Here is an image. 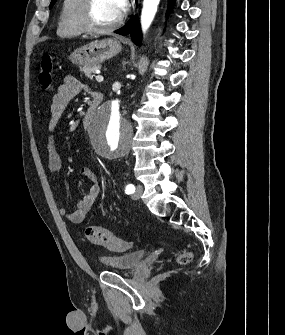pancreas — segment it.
Masks as SVG:
<instances>
[{
	"label": "pancreas",
	"mask_w": 285,
	"mask_h": 335,
	"mask_svg": "<svg viewBox=\"0 0 285 335\" xmlns=\"http://www.w3.org/2000/svg\"><path fill=\"white\" fill-rule=\"evenodd\" d=\"M93 70H100L99 64L97 66H81L80 72H84L85 76L90 80L93 81L95 76L93 75Z\"/></svg>",
	"instance_id": "pancreas-1"
}]
</instances>
